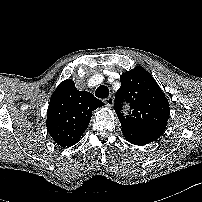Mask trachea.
<instances>
[{"instance_id": "3493384b", "label": "trachea", "mask_w": 202, "mask_h": 202, "mask_svg": "<svg viewBox=\"0 0 202 202\" xmlns=\"http://www.w3.org/2000/svg\"><path fill=\"white\" fill-rule=\"evenodd\" d=\"M95 95L98 98H107L109 95L108 87H106L104 85L99 86L95 91Z\"/></svg>"}]
</instances>
